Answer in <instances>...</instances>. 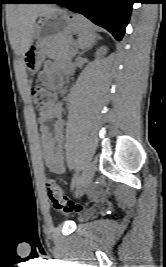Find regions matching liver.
<instances>
[{"label":"liver","instance_id":"liver-1","mask_svg":"<svg viewBox=\"0 0 166 267\" xmlns=\"http://www.w3.org/2000/svg\"><path fill=\"white\" fill-rule=\"evenodd\" d=\"M58 10L45 4H24L18 6L12 19L11 44L22 55L29 48L35 28L36 19Z\"/></svg>","mask_w":166,"mask_h":267}]
</instances>
